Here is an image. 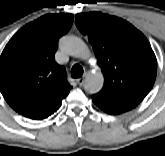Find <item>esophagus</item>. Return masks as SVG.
<instances>
[{
    "label": "esophagus",
    "mask_w": 165,
    "mask_h": 156,
    "mask_svg": "<svg viewBox=\"0 0 165 156\" xmlns=\"http://www.w3.org/2000/svg\"><path fill=\"white\" fill-rule=\"evenodd\" d=\"M76 82L79 86H82L83 83H84V78H79V79L76 80Z\"/></svg>",
    "instance_id": "34e87169"
}]
</instances>
